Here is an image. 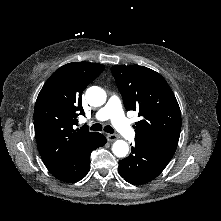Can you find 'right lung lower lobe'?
I'll return each instance as SVG.
<instances>
[{"instance_id": "right-lung-lower-lobe-1", "label": "right lung lower lobe", "mask_w": 221, "mask_h": 221, "mask_svg": "<svg viewBox=\"0 0 221 221\" xmlns=\"http://www.w3.org/2000/svg\"><path fill=\"white\" fill-rule=\"evenodd\" d=\"M107 142L104 135L96 133L92 140L85 146L76 149L58 164L47 168L57 179L74 183L83 179L90 170L91 152Z\"/></svg>"}]
</instances>
